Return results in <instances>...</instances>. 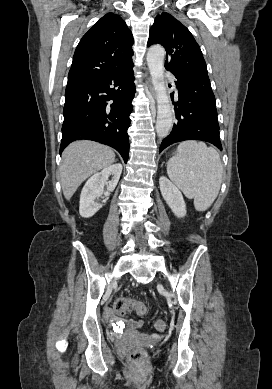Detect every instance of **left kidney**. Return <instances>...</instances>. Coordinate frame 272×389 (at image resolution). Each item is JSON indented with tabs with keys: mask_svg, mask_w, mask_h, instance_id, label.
<instances>
[{
	"mask_svg": "<svg viewBox=\"0 0 272 389\" xmlns=\"http://www.w3.org/2000/svg\"><path fill=\"white\" fill-rule=\"evenodd\" d=\"M161 194L172 212L182 218L186 215V204L181 191L166 177L159 179Z\"/></svg>",
	"mask_w": 272,
	"mask_h": 389,
	"instance_id": "1",
	"label": "left kidney"
}]
</instances>
